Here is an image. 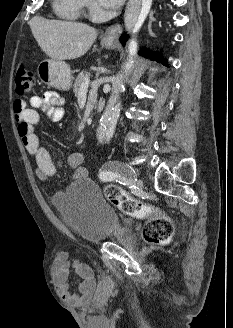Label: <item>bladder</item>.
<instances>
[{
	"label": "bladder",
	"instance_id": "obj_1",
	"mask_svg": "<svg viewBox=\"0 0 233 328\" xmlns=\"http://www.w3.org/2000/svg\"><path fill=\"white\" fill-rule=\"evenodd\" d=\"M51 202L61 219L83 240L97 243L111 238L127 245L134 244L95 182L77 180L54 194Z\"/></svg>",
	"mask_w": 233,
	"mask_h": 328
}]
</instances>
